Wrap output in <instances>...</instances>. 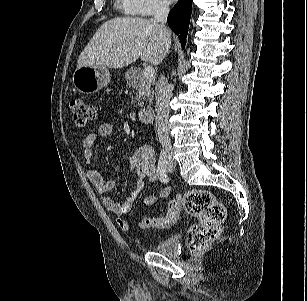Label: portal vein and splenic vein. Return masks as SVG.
Segmentation results:
<instances>
[{
	"instance_id": "18ae733b",
	"label": "portal vein and splenic vein",
	"mask_w": 307,
	"mask_h": 301,
	"mask_svg": "<svg viewBox=\"0 0 307 301\" xmlns=\"http://www.w3.org/2000/svg\"><path fill=\"white\" fill-rule=\"evenodd\" d=\"M143 76L144 77H147V78H149V77H153L154 76V73H155V71H154V68L153 67H151V66H148V67H145L144 69H143Z\"/></svg>"
}]
</instances>
